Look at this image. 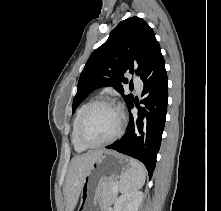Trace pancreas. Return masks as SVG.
<instances>
[{"mask_svg": "<svg viewBox=\"0 0 221 211\" xmlns=\"http://www.w3.org/2000/svg\"><path fill=\"white\" fill-rule=\"evenodd\" d=\"M115 185H116L115 182H109V183L103 184L100 190V205H101L102 211H105L104 209L107 206L111 205L116 199L117 191H113V188Z\"/></svg>", "mask_w": 221, "mask_h": 211, "instance_id": "pancreas-1", "label": "pancreas"}]
</instances>
